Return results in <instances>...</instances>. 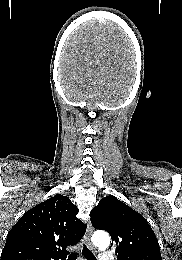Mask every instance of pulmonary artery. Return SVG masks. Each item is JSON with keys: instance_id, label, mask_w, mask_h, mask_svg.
I'll list each match as a JSON object with an SVG mask.
<instances>
[{"instance_id": "1", "label": "pulmonary artery", "mask_w": 182, "mask_h": 260, "mask_svg": "<svg viewBox=\"0 0 182 260\" xmlns=\"http://www.w3.org/2000/svg\"><path fill=\"white\" fill-rule=\"evenodd\" d=\"M98 260H115L114 256L109 252H102L98 256Z\"/></svg>"}]
</instances>
